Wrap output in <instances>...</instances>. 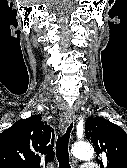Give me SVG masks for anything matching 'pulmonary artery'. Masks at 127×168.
<instances>
[{
  "instance_id": "1",
  "label": "pulmonary artery",
  "mask_w": 127,
  "mask_h": 168,
  "mask_svg": "<svg viewBox=\"0 0 127 168\" xmlns=\"http://www.w3.org/2000/svg\"><path fill=\"white\" fill-rule=\"evenodd\" d=\"M81 168H98L95 163H84Z\"/></svg>"
}]
</instances>
